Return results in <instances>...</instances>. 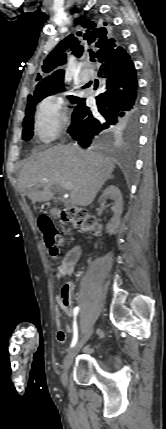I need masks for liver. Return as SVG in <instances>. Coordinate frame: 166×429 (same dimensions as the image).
I'll return each mask as SVG.
<instances>
[{
  "instance_id": "6515ba94",
  "label": "liver",
  "mask_w": 166,
  "mask_h": 429,
  "mask_svg": "<svg viewBox=\"0 0 166 429\" xmlns=\"http://www.w3.org/2000/svg\"><path fill=\"white\" fill-rule=\"evenodd\" d=\"M114 169V161L101 153L57 145L35 154L24 164L18 186L35 203L51 200L53 185L71 182L70 203L88 206ZM35 186H42L43 190L36 191Z\"/></svg>"
}]
</instances>
